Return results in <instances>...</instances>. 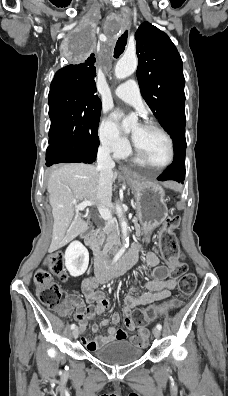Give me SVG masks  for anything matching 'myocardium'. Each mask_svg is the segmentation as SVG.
I'll use <instances>...</instances> for the list:
<instances>
[{"mask_svg": "<svg viewBox=\"0 0 228 396\" xmlns=\"http://www.w3.org/2000/svg\"><path fill=\"white\" fill-rule=\"evenodd\" d=\"M142 126L159 131L167 139V141L169 143V147H170V155H169L168 160L164 164L153 165L145 158V156L142 154L140 149L133 142V150H134L135 158L137 159L138 162H140L144 166H147L152 169L160 170V169H164V168L168 167L173 162L174 157H175L174 141H173L171 135L163 127H161L154 121H150V120L145 121L142 124Z\"/></svg>", "mask_w": 228, "mask_h": 396, "instance_id": "myocardium-1", "label": "myocardium"}]
</instances>
